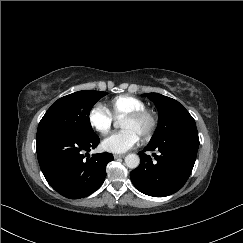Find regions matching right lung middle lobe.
<instances>
[{"instance_id": "obj_1", "label": "right lung middle lobe", "mask_w": 243, "mask_h": 243, "mask_svg": "<svg viewBox=\"0 0 243 243\" xmlns=\"http://www.w3.org/2000/svg\"><path fill=\"white\" fill-rule=\"evenodd\" d=\"M106 92L78 91L58 99L41 119L36 137L48 133H64L79 137L96 135L89 113Z\"/></svg>"}]
</instances>
